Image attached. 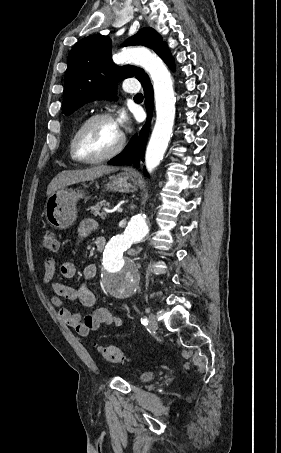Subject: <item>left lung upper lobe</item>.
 Here are the masks:
<instances>
[{
	"instance_id": "1",
	"label": "left lung upper lobe",
	"mask_w": 281,
	"mask_h": 453,
	"mask_svg": "<svg viewBox=\"0 0 281 453\" xmlns=\"http://www.w3.org/2000/svg\"><path fill=\"white\" fill-rule=\"evenodd\" d=\"M143 45L159 56L165 47L162 37L152 28H144L128 38L123 46ZM65 74L62 112L70 115L85 103L98 99H116L117 82L128 77L142 81L143 69L126 65L116 66L111 61V40L102 35L81 39L71 49Z\"/></svg>"
}]
</instances>
